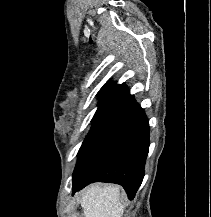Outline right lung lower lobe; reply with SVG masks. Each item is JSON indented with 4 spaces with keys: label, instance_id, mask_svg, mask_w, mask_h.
Returning <instances> with one entry per match:
<instances>
[{
    "label": "right lung lower lobe",
    "instance_id": "obj_1",
    "mask_svg": "<svg viewBox=\"0 0 211 217\" xmlns=\"http://www.w3.org/2000/svg\"><path fill=\"white\" fill-rule=\"evenodd\" d=\"M149 132L140 105L114 119L77 163L72 176L73 194L100 181L122 185L132 199L144 177Z\"/></svg>",
    "mask_w": 211,
    "mask_h": 217
}]
</instances>
